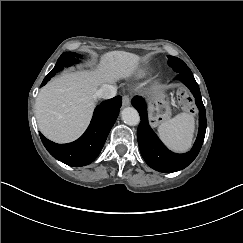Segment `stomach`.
<instances>
[{"label":"stomach","mask_w":243,"mask_h":243,"mask_svg":"<svg viewBox=\"0 0 243 243\" xmlns=\"http://www.w3.org/2000/svg\"><path fill=\"white\" fill-rule=\"evenodd\" d=\"M151 124L157 126L171 116L170 100L164 92H156L152 97L147 96Z\"/></svg>","instance_id":"obj_1"}]
</instances>
